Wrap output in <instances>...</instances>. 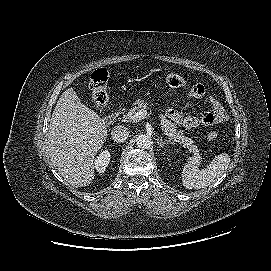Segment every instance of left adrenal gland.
I'll return each mask as SVG.
<instances>
[{"mask_svg":"<svg viewBox=\"0 0 271 271\" xmlns=\"http://www.w3.org/2000/svg\"><path fill=\"white\" fill-rule=\"evenodd\" d=\"M157 143L160 148H163L166 144L171 143L170 140L164 139L162 140L161 138H157Z\"/></svg>","mask_w":271,"mask_h":271,"instance_id":"left-adrenal-gland-1","label":"left adrenal gland"}]
</instances>
